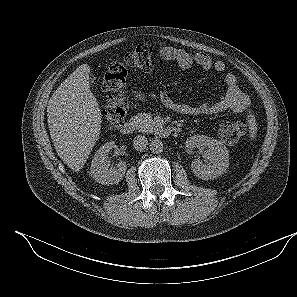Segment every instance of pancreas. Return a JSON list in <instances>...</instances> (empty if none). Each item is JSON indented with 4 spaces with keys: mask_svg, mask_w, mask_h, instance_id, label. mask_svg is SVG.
I'll return each instance as SVG.
<instances>
[{
    "mask_svg": "<svg viewBox=\"0 0 297 297\" xmlns=\"http://www.w3.org/2000/svg\"><path fill=\"white\" fill-rule=\"evenodd\" d=\"M132 121L136 124L137 129L143 133H151L157 128L156 122L145 113L133 117Z\"/></svg>",
    "mask_w": 297,
    "mask_h": 297,
    "instance_id": "1",
    "label": "pancreas"
}]
</instances>
